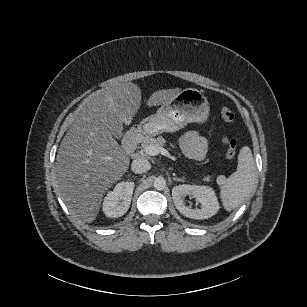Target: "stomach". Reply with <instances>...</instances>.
<instances>
[{
  "label": "stomach",
  "instance_id": "1",
  "mask_svg": "<svg viewBox=\"0 0 307 307\" xmlns=\"http://www.w3.org/2000/svg\"><path fill=\"white\" fill-rule=\"evenodd\" d=\"M210 107L203 93L194 88L181 90L169 103L162 104L155 114L143 119L141 130L150 136L176 132L188 123H204Z\"/></svg>",
  "mask_w": 307,
  "mask_h": 307
}]
</instances>
